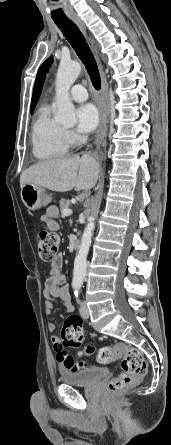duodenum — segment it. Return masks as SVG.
I'll use <instances>...</instances> for the list:
<instances>
[{
  "label": "duodenum",
  "instance_id": "1",
  "mask_svg": "<svg viewBox=\"0 0 171 445\" xmlns=\"http://www.w3.org/2000/svg\"><path fill=\"white\" fill-rule=\"evenodd\" d=\"M73 246H74V248H76V249L80 248V246H81V241H80V239H75L74 242H73Z\"/></svg>",
  "mask_w": 171,
  "mask_h": 445
}]
</instances>
